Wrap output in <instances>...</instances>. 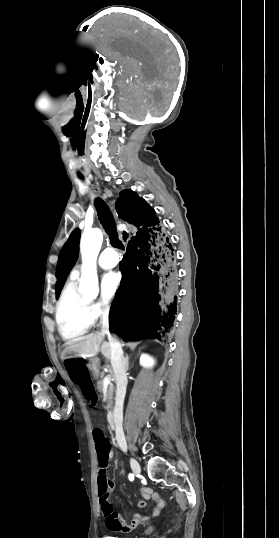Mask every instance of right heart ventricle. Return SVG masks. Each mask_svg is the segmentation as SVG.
Instances as JSON below:
<instances>
[{"instance_id":"right-heart-ventricle-1","label":"right heart ventricle","mask_w":279,"mask_h":538,"mask_svg":"<svg viewBox=\"0 0 279 538\" xmlns=\"http://www.w3.org/2000/svg\"><path fill=\"white\" fill-rule=\"evenodd\" d=\"M91 233L102 235L100 229L86 228L82 233V240ZM78 279V275H70L56 304V324L65 340H73L84 335L95 323L93 303L80 293Z\"/></svg>"}]
</instances>
